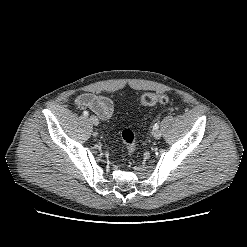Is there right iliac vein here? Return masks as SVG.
Returning a JSON list of instances; mask_svg holds the SVG:
<instances>
[{
    "instance_id": "1",
    "label": "right iliac vein",
    "mask_w": 247,
    "mask_h": 247,
    "mask_svg": "<svg viewBox=\"0 0 247 247\" xmlns=\"http://www.w3.org/2000/svg\"><path fill=\"white\" fill-rule=\"evenodd\" d=\"M89 121H90L93 125H95V126H97V125L99 124L98 118H97L96 116H94V115L89 116Z\"/></svg>"
}]
</instances>
